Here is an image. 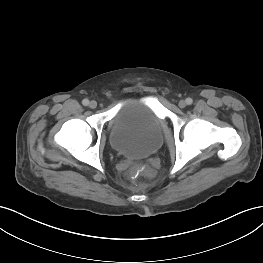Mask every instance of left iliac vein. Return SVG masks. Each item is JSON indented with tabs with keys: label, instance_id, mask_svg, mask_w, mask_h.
Wrapping results in <instances>:
<instances>
[{
	"label": "left iliac vein",
	"instance_id": "4c4485c4",
	"mask_svg": "<svg viewBox=\"0 0 263 263\" xmlns=\"http://www.w3.org/2000/svg\"><path fill=\"white\" fill-rule=\"evenodd\" d=\"M178 106L180 108H184L186 106V102L184 100H180L179 103H178Z\"/></svg>",
	"mask_w": 263,
	"mask_h": 263
}]
</instances>
